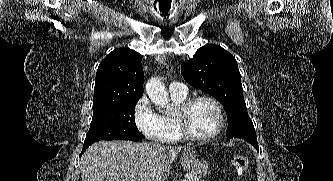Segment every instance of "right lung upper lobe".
<instances>
[{"instance_id": "cb5924a9", "label": "right lung upper lobe", "mask_w": 333, "mask_h": 181, "mask_svg": "<svg viewBox=\"0 0 333 181\" xmlns=\"http://www.w3.org/2000/svg\"><path fill=\"white\" fill-rule=\"evenodd\" d=\"M141 60V54L127 48L108 54L96 73L93 108L139 100L144 82Z\"/></svg>"}]
</instances>
